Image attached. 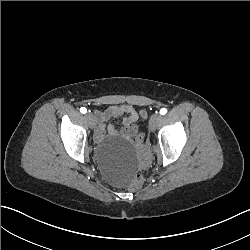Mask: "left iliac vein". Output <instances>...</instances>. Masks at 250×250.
I'll return each instance as SVG.
<instances>
[{"label": "left iliac vein", "instance_id": "4c4485c4", "mask_svg": "<svg viewBox=\"0 0 250 250\" xmlns=\"http://www.w3.org/2000/svg\"><path fill=\"white\" fill-rule=\"evenodd\" d=\"M162 116L159 114H153L149 120V128L154 130L156 126L161 122Z\"/></svg>", "mask_w": 250, "mask_h": 250}]
</instances>
